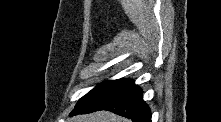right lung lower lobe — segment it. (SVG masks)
I'll return each mask as SVG.
<instances>
[{"mask_svg":"<svg viewBox=\"0 0 221 122\" xmlns=\"http://www.w3.org/2000/svg\"><path fill=\"white\" fill-rule=\"evenodd\" d=\"M109 110L133 122H151V112L143 101L142 90L132 80H123L111 88L78 102L72 115Z\"/></svg>","mask_w":221,"mask_h":122,"instance_id":"right-lung-lower-lobe-1","label":"right lung lower lobe"}]
</instances>
